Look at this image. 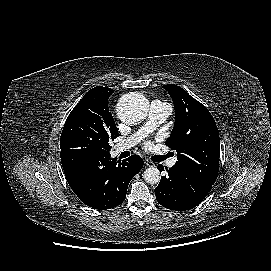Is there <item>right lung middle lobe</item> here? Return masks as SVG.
Segmentation results:
<instances>
[{
	"mask_svg": "<svg viewBox=\"0 0 271 271\" xmlns=\"http://www.w3.org/2000/svg\"><path fill=\"white\" fill-rule=\"evenodd\" d=\"M113 89L97 86L89 90L69 114L60 139L61 151L76 149L109 153V142L119 136L108 108Z\"/></svg>",
	"mask_w": 271,
	"mask_h": 271,
	"instance_id": "right-lung-middle-lobe-1",
	"label": "right lung middle lobe"
}]
</instances>
